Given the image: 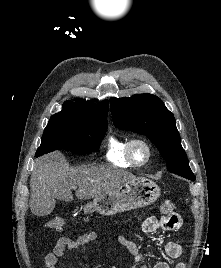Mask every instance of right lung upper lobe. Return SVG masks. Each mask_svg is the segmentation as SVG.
<instances>
[{
    "label": "right lung upper lobe",
    "instance_id": "1",
    "mask_svg": "<svg viewBox=\"0 0 221 268\" xmlns=\"http://www.w3.org/2000/svg\"><path fill=\"white\" fill-rule=\"evenodd\" d=\"M57 114L69 115L88 122L107 125L108 101L105 100L99 105L84 99H78L76 103L66 101L63 104V110Z\"/></svg>",
    "mask_w": 221,
    "mask_h": 268
}]
</instances>
